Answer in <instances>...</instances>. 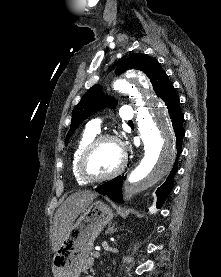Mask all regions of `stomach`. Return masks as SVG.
Masks as SVG:
<instances>
[{"instance_id": "obj_1", "label": "stomach", "mask_w": 221, "mask_h": 277, "mask_svg": "<svg viewBox=\"0 0 221 277\" xmlns=\"http://www.w3.org/2000/svg\"><path fill=\"white\" fill-rule=\"evenodd\" d=\"M113 217L110 206L102 201L93 202L84 209L53 257V276L79 277L95 239Z\"/></svg>"}]
</instances>
